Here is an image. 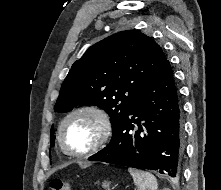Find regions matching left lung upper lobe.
Instances as JSON below:
<instances>
[{
    "label": "left lung upper lobe",
    "instance_id": "left-lung-upper-lobe-1",
    "mask_svg": "<svg viewBox=\"0 0 221 190\" xmlns=\"http://www.w3.org/2000/svg\"><path fill=\"white\" fill-rule=\"evenodd\" d=\"M166 60L160 46L137 30L107 37L74 62L54 110L64 113L78 105H96L109 114L113 127Z\"/></svg>",
    "mask_w": 221,
    "mask_h": 190
}]
</instances>
